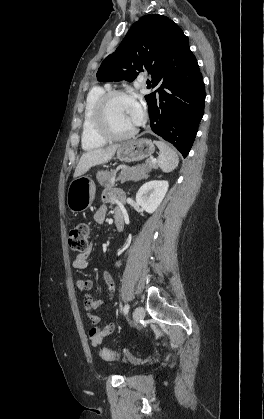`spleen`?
Returning <instances> with one entry per match:
<instances>
[{
  "label": "spleen",
  "instance_id": "obj_1",
  "mask_svg": "<svg viewBox=\"0 0 264 419\" xmlns=\"http://www.w3.org/2000/svg\"><path fill=\"white\" fill-rule=\"evenodd\" d=\"M155 144L160 150V154L157 159L159 167L166 173L173 171L179 163L177 153L173 148L162 141H155Z\"/></svg>",
  "mask_w": 264,
  "mask_h": 419
}]
</instances>
